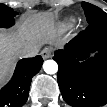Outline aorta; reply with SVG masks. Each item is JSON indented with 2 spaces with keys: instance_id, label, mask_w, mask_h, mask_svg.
<instances>
[{
  "instance_id": "obj_1",
  "label": "aorta",
  "mask_w": 107,
  "mask_h": 107,
  "mask_svg": "<svg viewBox=\"0 0 107 107\" xmlns=\"http://www.w3.org/2000/svg\"><path fill=\"white\" fill-rule=\"evenodd\" d=\"M43 69L47 74H55L58 71V64L54 60H46Z\"/></svg>"
}]
</instances>
